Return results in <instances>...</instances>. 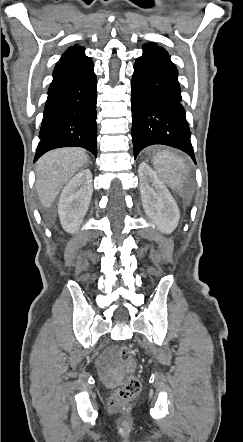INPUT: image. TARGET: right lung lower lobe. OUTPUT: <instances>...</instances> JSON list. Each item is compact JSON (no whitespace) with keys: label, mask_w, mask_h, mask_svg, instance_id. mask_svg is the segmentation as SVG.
<instances>
[{"label":"right lung lower lobe","mask_w":243,"mask_h":442,"mask_svg":"<svg viewBox=\"0 0 243 442\" xmlns=\"http://www.w3.org/2000/svg\"><path fill=\"white\" fill-rule=\"evenodd\" d=\"M97 79L84 50L61 57L48 89L36 161L49 150L83 147L97 155Z\"/></svg>","instance_id":"98d812e1"}]
</instances>
